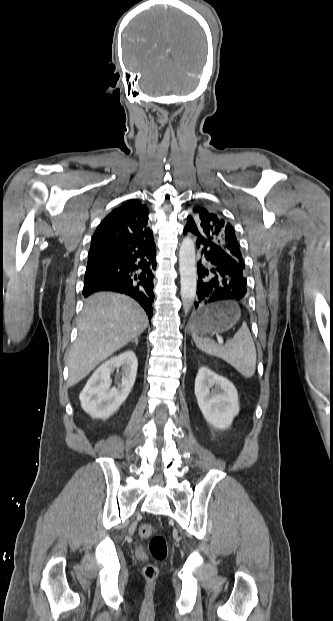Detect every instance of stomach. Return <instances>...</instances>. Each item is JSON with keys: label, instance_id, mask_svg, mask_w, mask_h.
<instances>
[{"label": "stomach", "instance_id": "stomach-1", "mask_svg": "<svg viewBox=\"0 0 333 621\" xmlns=\"http://www.w3.org/2000/svg\"><path fill=\"white\" fill-rule=\"evenodd\" d=\"M240 320L239 307L233 302H219L197 312L190 331L197 335L222 333Z\"/></svg>", "mask_w": 333, "mask_h": 621}]
</instances>
